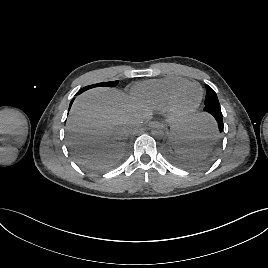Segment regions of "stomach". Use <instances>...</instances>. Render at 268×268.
Segmentation results:
<instances>
[{
    "label": "stomach",
    "mask_w": 268,
    "mask_h": 268,
    "mask_svg": "<svg viewBox=\"0 0 268 268\" xmlns=\"http://www.w3.org/2000/svg\"><path fill=\"white\" fill-rule=\"evenodd\" d=\"M191 126L189 125H175L171 129V137L174 141H176L177 148L180 147H188V140L191 134ZM188 133V135H186Z\"/></svg>",
    "instance_id": "obj_1"
}]
</instances>
